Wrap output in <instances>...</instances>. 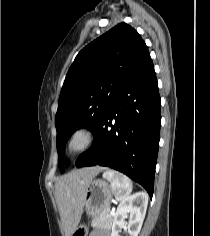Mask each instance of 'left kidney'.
Returning a JSON list of instances; mask_svg holds the SVG:
<instances>
[{"label": "left kidney", "mask_w": 210, "mask_h": 236, "mask_svg": "<svg viewBox=\"0 0 210 236\" xmlns=\"http://www.w3.org/2000/svg\"><path fill=\"white\" fill-rule=\"evenodd\" d=\"M148 195L138 192L123 200L114 214L111 236H119L120 229L126 228L129 236H138L147 210ZM129 215L128 223L125 218Z\"/></svg>", "instance_id": "obj_1"}]
</instances>
